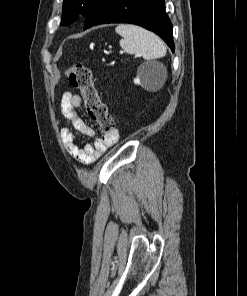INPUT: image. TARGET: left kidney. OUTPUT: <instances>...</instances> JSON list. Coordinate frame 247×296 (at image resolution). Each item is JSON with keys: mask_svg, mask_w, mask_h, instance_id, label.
Here are the masks:
<instances>
[{"mask_svg": "<svg viewBox=\"0 0 247 296\" xmlns=\"http://www.w3.org/2000/svg\"><path fill=\"white\" fill-rule=\"evenodd\" d=\"M147 82H148V80H147L145 73L142 70H140L137 78L134 79V83L146 88Z\"/></svg>", "mask_w": 247, "mask_h": 296, "instance_id": "5707ae66", "label": "left kidney"}]
</instances>
